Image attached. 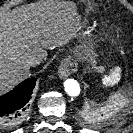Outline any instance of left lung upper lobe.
<instances>
[{
  "instance_id": "1",
  "label": "left lung upper lobe",
  "mask_w": 133,
  "mask_h": 133,
  "mask_svg": "<svg viewBox=\"0 0 133 133\" xmlns=\"http://www.w3.org/2000/svg\"><path fill=\"white\" fill-rule=\"evenodd\" d=\"M96 112H93L92 110L88 108H84L81 115H80V121L87 123L88 125H92L95 120H97L98 116H95ZM103 116V114H102ZM101 119V118H100Z\"/></svg>"
}]
</instances>
